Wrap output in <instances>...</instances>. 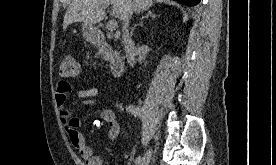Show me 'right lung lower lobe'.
<instances>
[{"label": "right lung lower lobe", "instance_id": "1", "mask_svg": "<svg viewBox=\"0 0 276 165\" xmlns=\"http://www.w3.org/2000/svg\"><path fill=\"white\" fill-rule=\"evenodd\" d=\"M175 1H178L179 3L184 4L186 6H195L200 2V0H175Z\"/></svg>", "mask_w": 276, "mask_h": 165}]
</instances>
